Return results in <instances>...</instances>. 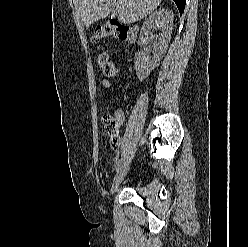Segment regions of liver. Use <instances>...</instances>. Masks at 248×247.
I'll return each instance as SVG.
<instances>
[{"mask_svg":"<svg viewBox=\"0 0 248 247\" xmlns=\"http://www.w3.org/2000/svg\"><path fill=\"white\" fill-rule=\"evenodd\" d=\"M160 2L161 0H74V5L88 28L111 12L118 14L119 20L125 24L134 23L154 11Z\"/></svg>","mask_w":248,"mask_h":247,"instance_id":"obj_1","label":"liver"}]
</instances>
